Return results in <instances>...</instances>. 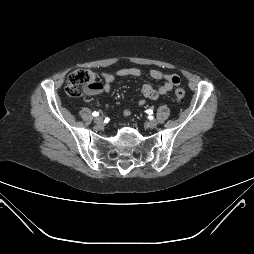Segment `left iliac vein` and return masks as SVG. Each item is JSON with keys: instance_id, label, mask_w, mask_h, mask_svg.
<instances>
[{"instance_id": "4c4485c4", "label": "left iliac vein", "mask_w": 254, "mask_h": 254, "mask_svg": "<svg viewBox=\"0 0 254 254\" xmlns=\"http://www.w3.org/2000/svg\"><path fill=\"white\" fill-rule=\"evenodd\" d=\"M157 121L156 120H150L147 122V125L149 128H155L157 126Z\"/></svg>"}]
</instances>
